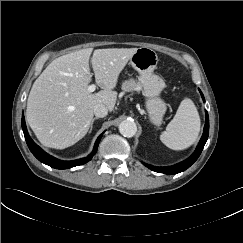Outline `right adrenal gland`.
Listing matches in <instances>:
<instances>
[{
    "mask_svg": "<svg viewBox=\"0 0 243 243\" xmlns=\"http://www.w3.org/2000/svg\"><path fill=\"white\" fill-rule=\"evenodd\" d=\"M97 119H98L97 117H95V118L92 119V121H91V125H90L89 133H91V131H92V129H93V123H94V121L97 120Z\"/></svg>",
    "mask_w": 243,
    "mask_h": 243,
    "instance_id": "obj_1",
    "label": "right adrenal gland"
}]
</instances>
